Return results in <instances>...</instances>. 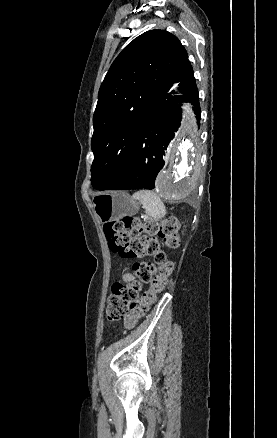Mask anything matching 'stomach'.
Segmentation results:
<instances>
[{"instance_id": "1", "label": "stomach", "mask_w": 277, "mask_h": 438, "mask_svg": "<svg viewBox=\"0 0 277 438\" xmlns=\"http://www.w3.org/2000/svg\"><path fill=\"white\" fill-rule=\"evenodd\" d=\"M96 215L102 223L113 222L125 216L135 215L139 209L137 200L123 191H113L93 198Z\"/></svg>"}]
</instances>
